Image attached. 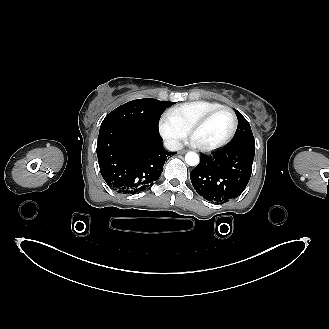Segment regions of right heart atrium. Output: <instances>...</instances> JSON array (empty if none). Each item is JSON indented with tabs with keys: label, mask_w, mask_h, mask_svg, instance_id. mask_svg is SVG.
Masks as SVG:
<instances>
[{
	"label": "right heart atrium",
	"mask_w": 329,
	"mask_h": 329,
	"mask_svg": "<svg viewBox=\"0 0 329 329\" xmlns=\"http://www.w3.org/2000/svg\"><path fill=\"white\" fill-rule=\"evenodd\" d=\"M159 131L163 138L174 148H178L187 136V131L167 113L159 121Z\"/></svg>",
	"instance_id": "obj_1"
}]
</instances>
